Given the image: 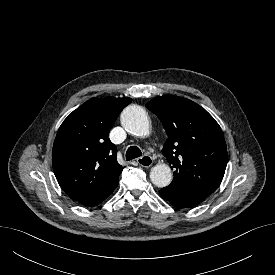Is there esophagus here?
<instances>
[{
	"label": "esophagus",
	"instance_id": "esophagus-1",
	"mask_svg": "<svg viewBox=\"0 0 275 275\" xmlns=\"http://www.w3.org/2000/svg\"><path fill=\"white\" fill-rule=\"evenodd\" d=\"M137 163L142 167H150L153 164V160L149 155H144L137 159Z\"/></svg>",
	"mask_w": 275,
	"mask_h": 275
}]
</instances>
